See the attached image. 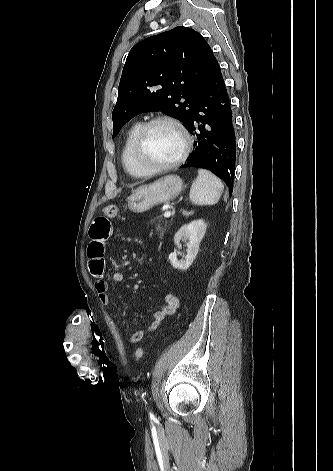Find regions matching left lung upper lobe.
Masks as SVG:
<instances>
[{
	"mask_svg": "<svg viewBox=\"0 0 333 471\" xmlns=\"http://www.w3.org/2000/svg\"><path fill=\"white\" fill-rule=\"evenodd\" d=\"M216 61L206 40L183 26L137 43L127 56L119 83L113 137L130 119L149 111H161L187 127Z\"/></svg>",
	"mask_w": 333,
	"mask_h": 471,
	"instance_id": "obj_1",
	"label": "left lung upper lobe"
}]
</instances>
